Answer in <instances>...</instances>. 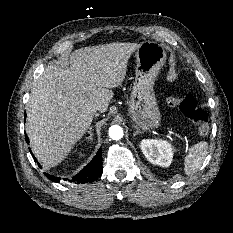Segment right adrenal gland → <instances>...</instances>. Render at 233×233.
<instances>
[{"mask_svg":"<svg viewBox=\"0 0 233 233\" xmlns=\"http://www.w3.org/2000/svg\"><path fill=\"white\" fill-rule=\"evenodd\" d=\"M88 133L90 134V136L87 137V138L90 139V140H92V139H93V136H92V135H93V134H92V127L89 128Z\"/></svg>","mask_w":233,"mask_h":233,"instance_id":"right-adrenal-gland-1","label":"right adrenal gland"}]
</instances>
